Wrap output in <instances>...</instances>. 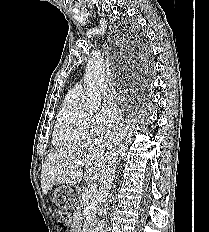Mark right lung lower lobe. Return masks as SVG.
<instances>
[{"label":"right lung lower lobe","mask_w":209,"mask_h":232,"mask_svg":"<svg viewBox=\"0 0 209 232\" xmlns=\"http://www.w3.org/2000/svg\"><path fill=\"white\" fill-rule=\"evenodd\" d=\"M149 60V51L146 47H142L140 51V62L138 61L134 67V73L137 75H141L145 66H147ZM149 64V63H148Z\"/></svg>","instance_id":"right-lung-lower-lobe-1"}]
</instances>
